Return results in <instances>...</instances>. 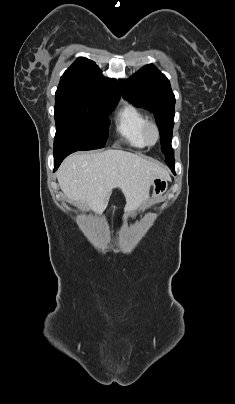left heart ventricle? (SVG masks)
<instances>
[{
	"instance_id": "1",
	"label": "left heart ventricle",
	"mask_w": 235,
	"mask_h": 404,
	"mask_svg": "<svg viewBox=\"0 0 235 404\" xmlns=\"http://www.w3.org/2000/svg\"><path fill=\"white\" fill-rule=\"evenodd\" d=\"M150 137L153 138V135L151 134Z\"/></svg>"
}]
</instances>
